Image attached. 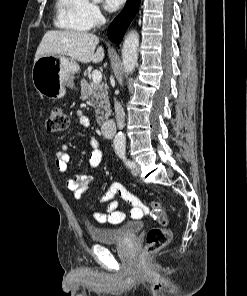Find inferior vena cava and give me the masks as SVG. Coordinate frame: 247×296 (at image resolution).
Wrapping results in <instances>:
<instances>
[{
  "mask_svg": "<svg viewBox=\"0 0 247 296\" xmlns=\"http://www.w3.org/2000/svg\"><path fill=\"white\" fill-rule=\"evenodd\" d=\"M114 108H115V114H116V122H117V127L121 130L124 127V110L121 106V104L115 99L114 100Z\"/></svg>",
  "mask_w": 247,
  "mask_h": 296,
  "instance_id": "obj_1",
  "label": "inferior vena cava"
}]
</instances>
